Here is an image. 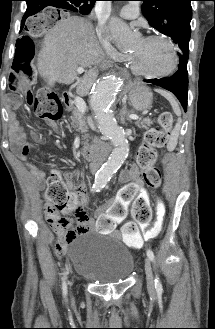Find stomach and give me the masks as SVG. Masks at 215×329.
<instances>
[{
    "label": "stomach",
    "mask_w": 215,
    "mask_h": 329,
    "mask_svg": "<svg viewBox=\"0 0 215 329\" xmlns=\"http://www.w3.org/2000/svg\"><path fill=\"white\" fill-rule=\"evenodd\" d=\"M153 94L149 88L132 84L129 87V102L135 111H145L152 107Z\"/></svg>",
    "instance_id": "0dacf381"
}]
</instances>
